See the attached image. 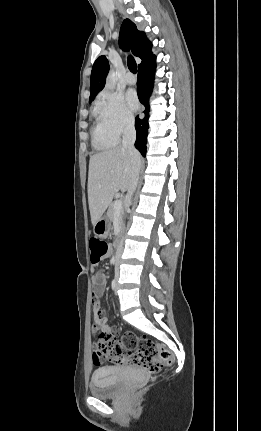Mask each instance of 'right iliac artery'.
I'll list each match as a JSON object with an SVG mask.
<instances>
[{
    "instance_id": "1",
    "label": "right iliac artery",
    "mask_w": 261,
    "mask_h": 431,
    "mask_svg": "<svg viewBox=\"0 0 261 431\" xmlns=\"http://www.w3.org/2000/svg\"><path fill=\"white\" fill-rule=\"evenodd\" d=\"M111 286H112V290H115V288H116V280L115 279L112 280Z\"/></svg>"
}]
</instances>
